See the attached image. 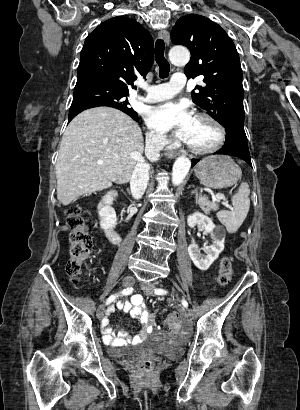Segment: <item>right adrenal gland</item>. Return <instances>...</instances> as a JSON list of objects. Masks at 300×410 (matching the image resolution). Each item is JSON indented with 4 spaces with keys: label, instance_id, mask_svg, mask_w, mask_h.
<instances>
[{
    "label": "right adrenal gland",
    "instance_id": "2a0ac1e0",
    "mask_svg": "<svg viewBox=\"0 0 300 410\" xmlns=\"http://www.w3.org/2000/svg\"><path fill=\"white\" fill-rule=\"evenodd\" d=\"M127 191H128V193L130 194V190H129V189H127Z\"/></svg>",
    "mask_w": 300,
    "mask_h": 410
}]
</instances>
